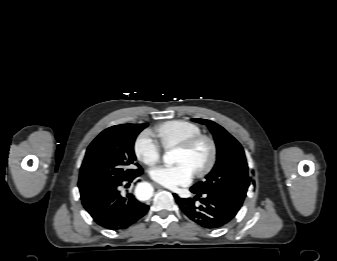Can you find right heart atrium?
I'll return each mask as SVG.
<instances>
[{
  "label": "right heart atrium",
  "mask_w": 337,
  "mask_h": 261,
  "mask_svg": "<svg viewBox=\"0 0 337 261\" xmlns=\"http://www.w3.org/2000/svg\"><path fill=\"white\" fill-rule=\"evenodd\" d=\"M134 151L140 161L153 165L160 159L162 148L150 131H143L135 141Z\"/></svg>",
  "instance_id": "1"
}]
</instances>
